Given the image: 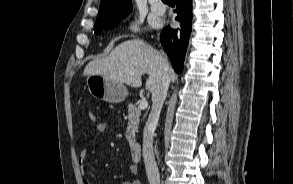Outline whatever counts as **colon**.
Listing matches in <instances>:
<instances>
[{"label": "colon", "mask_w": 293, "mask_h": 184, "mask_svg": "<svg viewBox=\"0 0 293 184\" xmlns=\"http://www.w3.org/2000/svg\"><path fill=\"white\" fill-rule=\"evenodd\" d=\"M88 117H89L90 121H92V122H94L96 120V115L93 111H90L88 113Z\"/></svg>", "instance_id": "1"}]
</instances>
